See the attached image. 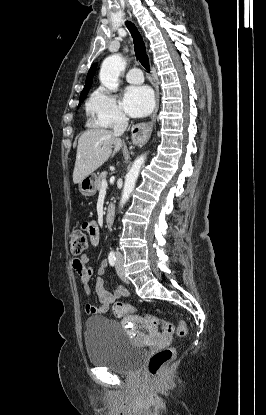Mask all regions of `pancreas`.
I'll use <instances>...</instances> for the list:
<instances>
[{
    "label": "pancreas",
    "mask_w": 266,
    "mask_h": 415,
    "mask_svg": "<svg viewBox=\"0 0 266 415\" xmlns=\"http://www.w3.org/2000/svg\"><path fill=\"white\" fill-rule=\"evenodd\" d=\"M106 176H107V172L105 171L99 174L97 181H96V190H100L102 188L101 184H102V181L106 179Z\"/></svg>",
    "instance_id": "obj_1"
}]
</instances>
